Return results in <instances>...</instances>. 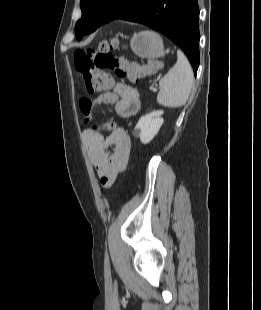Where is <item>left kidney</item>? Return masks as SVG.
Masks as SVG:
<instances>
[{"mask_svg":"<svg viewBox=\"0 0 261 310\" xmlns=\"http://www.w3.org/2000/svg\"><path fill=\"white\" fill-rule=\"evenodd\" d=\"M162 110L153 111L142 116L135 126L134 134L140 137L143 144H148L157 135L164 120L161 118Z\"/></svg>","mask_w":261,"mask_h":310,"instance_id":"1","label":"left kidney"}]
</instances>
